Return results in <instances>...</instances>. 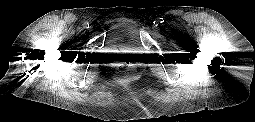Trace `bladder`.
<instances>
[{
    "label": "bladder",
    "mask_w": 255,
    "mask_h": 122,
    "mask_svg": "<svg viewBox=\"0 0 255 122\" xmlns=\"http://www.w3.org/2000/svg\"><path fill=\"white\" fill-rule=\"evenodd\" d=\"M108 42L111 45L135 49L139 43L137 29L132 24L114 26L109 30Z\"/></svg>",
    "instance_id": "bladder-1"
}]
</instances>
